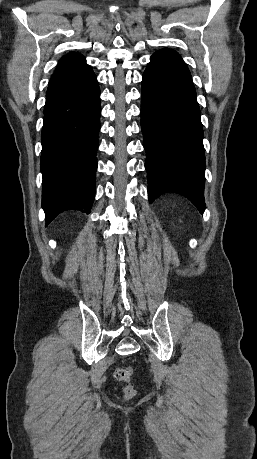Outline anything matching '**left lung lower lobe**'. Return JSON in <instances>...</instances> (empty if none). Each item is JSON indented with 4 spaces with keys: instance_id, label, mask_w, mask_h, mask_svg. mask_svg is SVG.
<instances>
[{
    "instance_id": "obj_1",
    "label": "left lung lower lobe",
    "mask_w": 257,
    "mask_h": 459,
    "mask_svg": "<svg viewBox=\"0 0 257 459\" xmlns=\"http://www.w3.org/2000/svg\"><path fill=\"white\" fill-rule=\"evenodd\" d=\"M190 71L180 55L162 49L142 80L141 129L147 153L148 196L168 192L205 209L203 128Z\"/></svg>"
}]
</instances>
